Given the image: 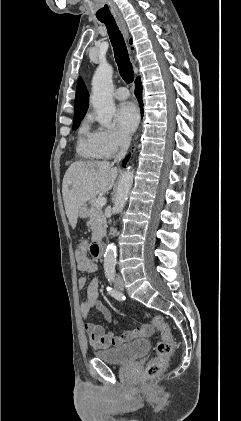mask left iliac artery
<instances>
[{"label":"left iliac artery","mask_w":241,"mask_h":421,"mask_svg":"<svg viewBox=\"0 0 241 421\" xmlns=\"http://www.w3.org/2000/svg\"><path fill=\"white\" fill-rule=\"evenodd\" d=\"M106 276L108 278V281H112L115 277V270L114 269L106 270Z\"/></svg>","instance_id":"obj_1"}]
</instances>
